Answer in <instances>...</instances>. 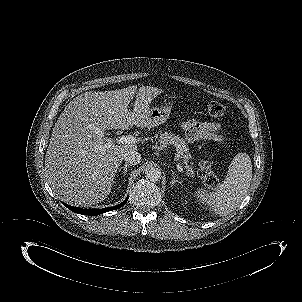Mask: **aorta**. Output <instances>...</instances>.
I'll return each instance as SVG.
<instances>
[{
    "instance_id": "obj_1",
    "label": "aorta",
    "mask_w": 302,
    "mask_h": 302,
    "mask_svg": "<svg viewBox=\"0 0 302 302\" xmlns=\"http://www.w3.org/2000/svg\"><path fill=\"white\" fill-rule=\"evenodd\" d=\"M145 177L151 182H156L161 178V171L156 167H150L146 170Z\"/></svg>"
}]
</instances>
